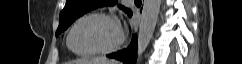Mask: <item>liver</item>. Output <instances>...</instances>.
Instances as JSON below:
<instances>
[{
	"label": "liver",
	"instance_id": "liver-1",
	"mask_svg": "<svg viewBox=\"0 0 242 64\" xmlns=\"http://www.w3.org/2000/svg\"><path fill=\"white\" fill-rule=\"evenodd\" d=\"M81 62H87V63H91V64H118L117 61L108 60L105 57H97V58H94L92 60H84V61H81Z\"/></svg>",
	"mask_w": 242,
	"mask_h": 64
}]
</instances>
